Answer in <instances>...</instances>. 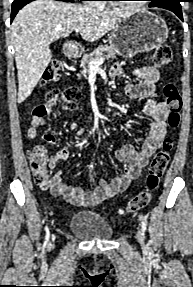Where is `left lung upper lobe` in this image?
<instances>
[{"label":"left lung upper lobe","instance_id":"1","mask_svg":"<svg viewBox=\"0 0 193 287\" xmlns=\"http://www.w3.org/2000/svg\"><path fill=\"white\" fill-rule=\"evenodd\" d=\"M149 1H151L149 6L155 7V6L163 4V3L172 2V1H181V0H149Z\"/></svg>","mask_w":193,"mask_h":287}]
</instances>
